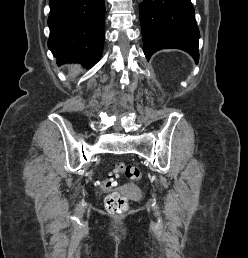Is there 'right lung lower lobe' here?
I'll use <instances>...</instances> for the list:
<instances>
[{
  "instance_id": "right-lung-lower-lobe-1",
  "label": "right lung lower lobe",
  "mask_w": 248,
  "mask_h": 258,
  "mask_svg": "<svg viewBox=\"0 0 248 258\" xmlns=\"http://www.w3.org/2000/svg\"><path fill=\"white\" fill-rule=\"evenodd\" d=\"M48 47L58 64H96L104 45V0H50Z\"/></svg>"
}]
</instances>
